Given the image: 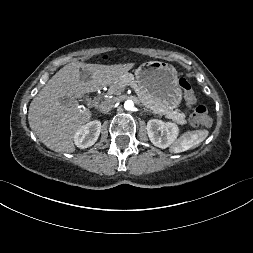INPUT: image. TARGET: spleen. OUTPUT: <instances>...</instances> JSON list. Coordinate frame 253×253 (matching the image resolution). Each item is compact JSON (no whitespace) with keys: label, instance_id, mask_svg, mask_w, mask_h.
<instances>
[{"label":"spleen","instance_id":"3e777b00","mask_svg":"<svg viewBox=\"0 0 253 253\" xmlns=\"http://www.w3.org/2000/svg\"><path fill=\"white\" fill-rule=\"evenodd\" d=\"M208 134V130H196L186 132L173 143L170 148V152L180 153L187 151L190 148L203 142L207 138Z\"/></svg>","mask_w":253,"mask_h":253}]
</instances>
